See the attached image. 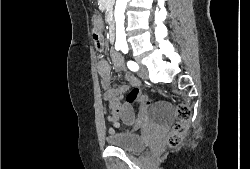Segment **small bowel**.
<instances>
[{"mask_svg":"<svg viewBox=\"0 0 250 169\" xmlns=\"http://www.w3.org/2000/svg\"><path fill=\"white\" fill-rule=\"evenodd\" d=\"M97 24L100 28L101 22L100 19H94L93 25ZM97 51L101 52L104 49V42L102 45L97 46L95 44ZM112 61L115 69L117 71H124L125 65L124 60L121 55L117 52H112ZM98 70L102 77L103 87L105 89V98L109 101V103H122V115L121 120L128 126H132L136 124V119L134 116V110L132 107L133 102H129L126 99L127 91H130V87L135 88L140 86L139 79L131 73H126L125 79L130 84V87L120 86L113 83L112 75L110 72V67L107 61L102 60L98 63ZM111 110V108H110ZM111 115L108 117L109 122L117 124L119 120H111Z\"/></svg>","mask_w":250,"mask_h":169,"instance_id":"obj_1","label":"small bowel"}]
</instances>
